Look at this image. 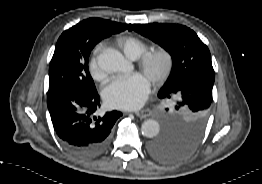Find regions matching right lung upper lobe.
<instances>
[{"label": "right lung upper lobe", "mask_w": 262, "mask_h": 184, "mask_svg": "<svg viewBox=\"0 0 262 184\" xmlns=\"http://www.w3.org/2000/svg\"><path fill=\"white\" fill-rule=\"evenodd\" d=\"M82 23H86V24H89V25H93V26L101 27V28H105V29H110V30H112L116 33L127 29L131 25V24L116 23V22H112V21H108V20H104V19H97V18H90V19H87V20L80 22V24H82Z\"/></svg>", "instance_id": "cb5924a9"}]
</instances>
